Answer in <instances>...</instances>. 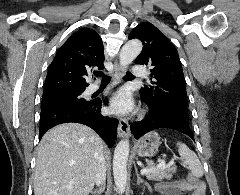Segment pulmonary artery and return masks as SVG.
Instances as JSON below:
<instances>
[{
    "label": "pulmonary artery",
    "mask_w": 240,
    "mask_h": 195,
    "mask_svg": "<svg viewBox=\"0 0 240 195\" xmlns=\"http://www.w3.org/2000/svg\"><path fill=\"white\" fill-rule=\"evenodd\" d=\"M144 70H146V65H136L134 67V73L137 74L138 76H146L147 72L144 71ZM99 89H100V85L99 84H90L87 87V93L88 94H92V93L96 92Z\"/></svg>",
    "instance_id": "obj_1"
}]
</instances>
